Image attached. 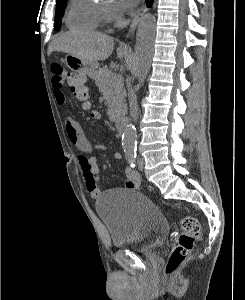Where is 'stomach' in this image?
I'll list each match as a JSON object with an SVG mask.
<instances>
[{
	"label": "stomach",
	"instance_id": "obj_1",
	"mask_svg": "<svg viewBox=\"0 0 245 300\" xmlns=\"http://www.w3.org/2000/svg\"><path fill=\"white\" fill-rule=\"evenodd\" d=\"M67 67L77 73H82L91 78L97 73L98 63L82 60L74 55L68 54L65 57Z\"/></svg>",
	"mask_w": 245,
	"mask_h": 300
}]
</instances>
